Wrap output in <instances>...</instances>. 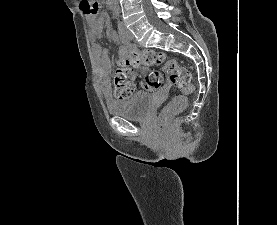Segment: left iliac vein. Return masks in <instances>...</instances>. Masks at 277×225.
I'll use <instances>...</instances> for the list:
<instances>
[{"label": "left iliac vein", "mask_w": 277, "mask_h": 225, "mask_svg": "<svg viewBox=\"0 0 277 225\" xmlns=\"http://www.w3.org/2000/svg\"><path fill=\"white\" fill-rule=\"evenodd\" d=\"M123 32L129 39H133V34L123 26Z\"/></svg>", "instance_id": "obj_1"}]
</instances>
